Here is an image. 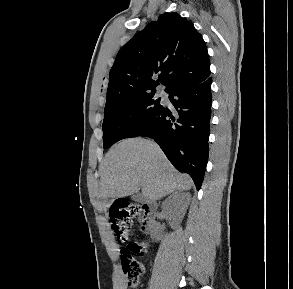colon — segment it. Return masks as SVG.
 Listing matches in <instances>:
<instances>
[{"mask_svg":"<svg viewBox=\"0 0 293 289\" xmlns=\"http://www.w3.org/2000/svg\"><path fill=\"white\" fill-rule=\"evenodd\" d=\"M143 211L140 204H126L121 201L114 202L109 211V220L112 228L120 241H128L131 235L130 225L132 219ZM147 253V245L144 242L132 241L128 249L122 250L121 260L123 270L130 285H137L144 272L143 265L133 258V255L143 256Z\"/></svg>","mask_w":293,"mask_h":289,"instance_id":"obj_1","label":"colon"}]
</instances>
